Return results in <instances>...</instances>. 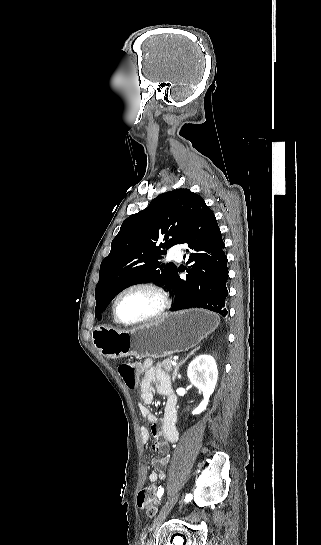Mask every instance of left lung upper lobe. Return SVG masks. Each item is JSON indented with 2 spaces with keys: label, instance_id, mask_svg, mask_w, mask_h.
Instances as JSON below:
<instances>
[{
  "label": "left lung upper lobe",
  "instance_id": "obj_1",
  "mask_svg": "<svg viewBox=\"0 0 321 545\" xmlns=\"http://www.w3.org/2000/svg\"><path fill=\"white\" fill-rule=\"evenodd\" d=\"M203 198L189 189L160 194L149 206L128 217L111 243L110 254L102 261L95 289V317L125 288L147 282L166 286L177 267L158 259L166 249L179 244Z\"/></svg>",
  "mask_w": 321,
  "mask_h": 545
}]
</instances>
